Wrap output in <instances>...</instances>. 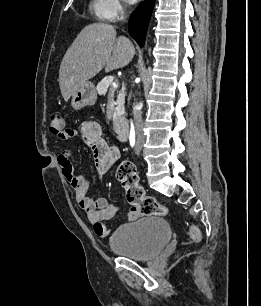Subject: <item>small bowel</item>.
<instances>
[{"mask_svg":"<svg viewBox=\"0 0 261 306\" xmlns=\"http://www.w3.org/2000/svg\"><path fill=\"white\" fill-rule=\"evenodd\" d=\"M80 136L82 142L90 148L94 157L95 170L97 175L106 174L119 157L116 147L110 146L103 138L101 126L95 121L85 122L78 133L70 130L66 138ZM73 152L69 149L62 151L58 158V164L63 177L68 182L76 203L85 212L88 220L93 225L94 232L99 237H107L111 229L105 224L112 219L118 208L104 197L91 198L87 195L89 189V179L77 173L72 163ZM129 220L138 217V211L132 208L128 213Z\"/></svg>","mask_w":261,"mask_h":306,"instance_id":"obj_1","label":"small bowel"}]
</instances>
